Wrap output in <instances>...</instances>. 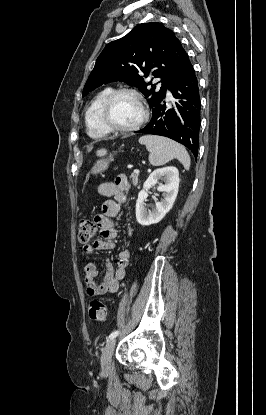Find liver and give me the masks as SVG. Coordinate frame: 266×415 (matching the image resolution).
I'll list each match as a JSON object with an SVG mask.
<instances>
[{"label": "liver", "mask_w": 266, "mask_h": 415, "mask_svg": "<svg viewBox=\"0 0 266 415\" xmlns=\"http://www.w3.org/2000/svg\"><path fill=\"white\" fill-rule=\"evenodd\" d=\"M106 151L104 150V149H100V150H98L96 153H97V155H102V154H104Z\"/></svg>", "instance_id": "obj_1"}]
</instances>
